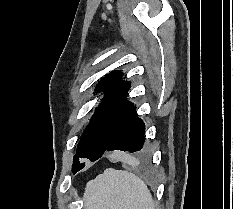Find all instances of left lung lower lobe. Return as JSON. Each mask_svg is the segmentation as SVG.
Masks as SVG:
<instances>
[{
	"mask_svg": "<svg viewBox=\"0 0 233 209\" xmlns=\"http://www.w3.org/2000/svg\"><path fill=\"white\" fill-rule=\"evenodd\" d=\"M144 132L145 124L141 120L137 113L136 107L134 105L126 116L121 120L113 131L105 152L121 150L129 151L131 153L141 150L144 142ZM90 161H96L99 158L97 157H88ZM85 165L83 163L78 164L74 169L73 173L75 174Z\"/></svg>",
	"mask_w": 233,
	"mask_h": 209,
	"instance_id": "left-lung-lower-lobe-1",
	"label": "left lung lower lobe"
}]
</instances>
